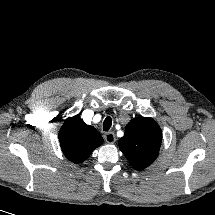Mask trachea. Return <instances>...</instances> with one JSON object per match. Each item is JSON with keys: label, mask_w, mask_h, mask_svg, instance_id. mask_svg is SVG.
Segmentation results:
<instances>
[{"label": "trachea", "mask_w": 215, "mask_h": 215, "mask_svg": "<svg viewBox=\"0 0 215 215\" xmlns=\"http://www.w3.org/2000/svg\"><path fill=\"white\" fill-rule=\"evenodd\" d=\"M111 125H112V119L110 117H107L103 123V130L108 131L110 129Z\"/></svg>", "instance_id": "1"}]
</instances>
